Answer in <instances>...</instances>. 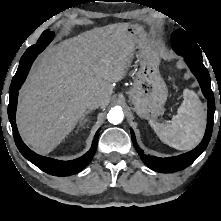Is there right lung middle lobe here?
<instances>
[{
  "mask_svg": "<svg viewBox=\"0 0 221 221\" xmlns=\"http://www.w3.org/2000/svg\"><path fill=\"white\" fill-rule=\"evenodd\" d=\"M53 32H49V30H46L42 33L41 37L37 41V43L30 48V50H39L42 48V50L45 49V47L52 41L53 39Z\"/></svg>",
  "mask_w": 221,
  "mask_h": 221,
  "instance_id": "obj_1",
  "label": "right lung middle lobe"
}]
</instances>
